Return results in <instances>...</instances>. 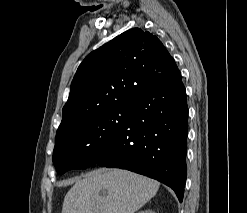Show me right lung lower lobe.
Instances as JSON below:
<instances>
[{
  "mask_svg": "<svg viewBox=\"0 0 247 213\" xmlns=\"http://www.w3.org/2000/svg\"><path fill=\"white\" fill-rule=\"evenodd\" d=\"M132 113L95 164L156 179L183 200L188 106L180 71L130 100Z\"/></svg>",
  "mask_w": 247,
  "mask_h": 213,
  "instance_id": "right-lung-lower-lobe-1",
  "label": "right lung lower lobe"
}]
</instances>
